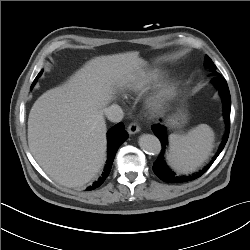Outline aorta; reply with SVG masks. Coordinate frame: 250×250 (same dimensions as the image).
Listing matches in <instances>:
<instances>
[{
  "mask_svg": "<svg viewBox=\"0 0 250 250\" xmlns=\"http://www.w3.org/2000/svg\"><path fill=\"white\" fill-rule=\"evenodd\" d=\"M140 148L147 154L158 155L161 151L159 139L152 134H143L139 138Z\"/></svg>",
  "mask_w": 250,
  "mask_h": 250,
  "instance_id": "obj_1",
  "label": "aorta"
}]
</instances>
